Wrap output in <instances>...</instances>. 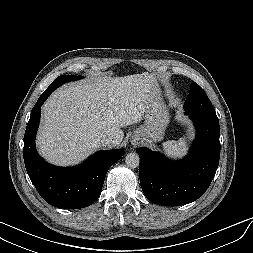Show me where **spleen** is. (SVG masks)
<instances>
[{"label":"spleen","instance_id":"1","mask_svg":"<svg viewBox=\"0 0 253 253\" xmlns=\"http://www.w3.org/2000/svg\"><path fill=\"white\" fill-rule=\"evenodd\" d=\"M163 150L168 157L179 158L187 153L188 142L186 138H180L178 141H167L162 144Z\"/></svg>","mask_w":253,"mask_h":253}]
</instances>
